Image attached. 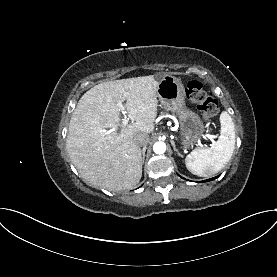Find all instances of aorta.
Masks as SVG:
<instances>
[{"mask_svg": "<svg viewBox=\"0 0 277 277\" xmlns=\"http://www.w3.org/2000/svg\"><path fill=\"white\" fill-rule=\"evenodd\" d=\"M153 151L156 154H163L166 151V144L164 142L158 141L153 145Z\"/></svg>", "mask_w": 277, "mask_h": 277, "instance_id": "obj_1", "label": "aorta"}]
</instances>
